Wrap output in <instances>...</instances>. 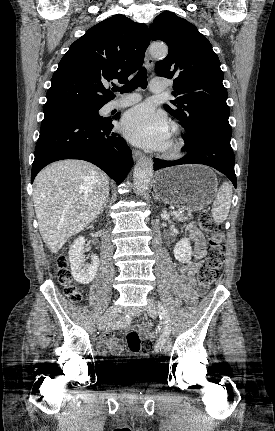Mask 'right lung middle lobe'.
<instances>
[{"mask_svg": "<svg viewBox=\"0 0 275 431\" xmlns=\"http://www.w3.org/2000/svg\"><path fill=\"white\" fill-rule=\"evenodd\" d=\"M102 106H92V107H76V108H70L65 110H60L52 113H69V114H77L84 116L86 118L92 119V120H102L104 119L102 116L99 115L98 110ZM48 113V114H52ZM47 115V114H45Z\"/></svg>", "mask_w": 275, "mask_h": 431, "instance_id": "right-lung-middle-lobe-1", "label": "right lung middle lobe"}]
</instances>
